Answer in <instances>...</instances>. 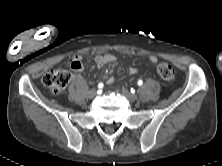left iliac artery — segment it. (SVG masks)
I'll use <instances>...</instances> for the list:
<instances>
[{"instance_id":"obj_1","label":"left iliac artery","mask_w":222,"mask_h":166,"mask_svg":"<svg viewBox=\"0 0 222 166\" xmlns=\"http://www.w3.org/2000/svg\"><path fill=\"white\" fill-rule=\"evenodd\" d=\"M139 86H141L143 84V81L142 80H139L138 83H137Z\"/></svg>"}]
</instances>
